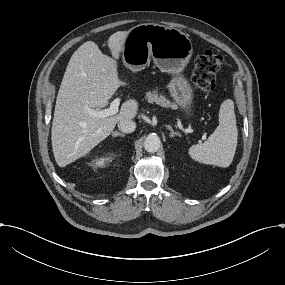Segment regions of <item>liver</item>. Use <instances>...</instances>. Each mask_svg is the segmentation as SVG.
I'll return each instance as SVG.
<instances>
[{"mask_svg": "<svg viewBox=\"0 0 285 285\" xmlns=\"http://www.w3.org/2000/svg\"><path fill=\"white\" fill-rule=\"evenodd\" d=\"M130 31H117L107 40L111 56H104L94 41L82 44L72 55L61 83L52 123V149L60 168L88 155L123 119L137 117L140 104L125 100L116 115L94 117L86 108H106L119 87L129 83L119 75V59Z\"/></svg>", "mask_w": 285, "mask_h": 285, "instance_id": "1", "label": "liver"}]
</instances>
